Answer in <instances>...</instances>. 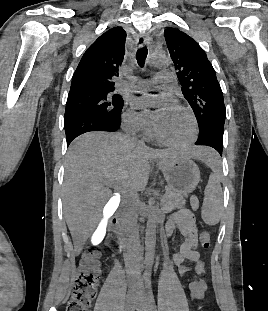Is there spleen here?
Listing matches in <instances>:
<instances>
[{"mask_svg":"<svg viewBox=\"0 0 268 311\" xmlns=\"http://www.w3.org/2000/svg\"><path fill=\"white\" fill-rule=\"evenodd\" d=\"M196 149L201 159L213 170L205 187L201 211L203 221L213 226L219 223L223 213V192L220 184L222 174L217 164L215 148H209L208 144H197Z\"/></svg>","mask_w":268,"mask_h":311,"instance_id":"1","label":"spleen"}]
</instances>
